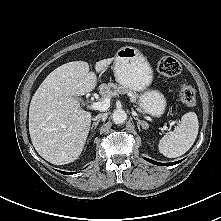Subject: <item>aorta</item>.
I'll list each match as a JSON object with an SVG mask.
<instances>
[{"label":"aorta","mask_w":221,"mask_h":221,"mask_svg":"<svg viewBox=\"0 0 221 221\" xmlns=\"http://www.w3.org/2000/svg\"><path fill=\"white\" fill-rule=\"evenodd\" d=\"M127 119V114L122 109H116L112 114V120L115 124H122Z\"/></svg>","instance_id":"obj_1"}]
</instances>
